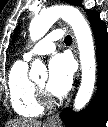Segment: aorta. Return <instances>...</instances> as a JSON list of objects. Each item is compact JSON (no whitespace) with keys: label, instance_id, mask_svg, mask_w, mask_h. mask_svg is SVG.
<instances>
[{"label":"aorta","instance_id":"762f6f07","mask_svg":"<svg viewBox=\"0 0 108 127\" xmlns=\"http://www.w3.org/2000/svg\"><path fill=\"white\" fill-rule=\"evenodd\" d=\"M66 21L73 29L78 44L82 67V80L74 101V110H81L90 100L95 84L96 65L94 42L91 29L82 13L72 6H54L43 10L29 25V35L33 41L43 37L59 19ZM31 79L46 77V67L40 60L33 61L29 73Z\"/></svg>","mask_w":108,"mask_h":127}]
</instances>
